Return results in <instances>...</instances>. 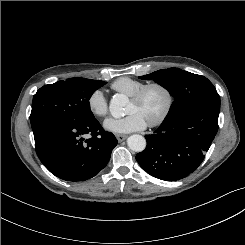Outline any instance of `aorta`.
<instances>
[{
	"label": "aorta",
	"mask_w": 245,
	"mask_h": 245,
	"mask_svg": "<svg viewBox=\"0 0 245 245\" xmlns=\"http://www.w3.org/2000/svg\"><path fill=\"white\" fill-rule=\"evenodd\" d=\"M128 98L123 94H116L112 97L109 105L113 117L121 118L124 116L125 106ZM128 147L135 152H142L146 147V140L142 135L134 134L127 139Z\"/></svg>",
	"instance_id": "aorta-1"
}]
</instances>
